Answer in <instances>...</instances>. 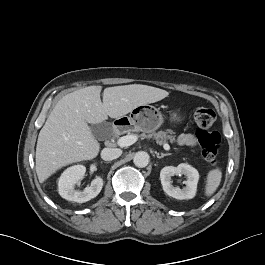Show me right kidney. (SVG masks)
<instances>
[{
  "label": "right kidney",
  "mask_w": 265,
  "mask_h": 265,
  "mask_svg": "<svg viewBox=\"0 0 265 265\" xmlns=\"http://www.w3.org/2000/svg\"><path fill=\"white\" fill-rule=\"evenodd\" d=\"M85 172V166L74 165L62 173L58 181V191L62 198L68 201L84 203L95 198L100 193L103 187V180L99 176L93 179L90 186H87L84 190H75V184L83 178Z\"/></svg>",
  "instance_id": "obj_1"
}]
</instances>
